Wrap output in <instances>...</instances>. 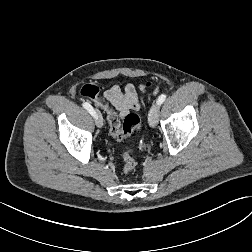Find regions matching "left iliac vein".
Masks as SVG:
<instances>
[{"mask_svg": "<svg viewBox=\"0 0 252 252\" xmlns=\"http://www.w3.org/2000/svg\"><path fill=\"white\" fill-rule=\"evenodd\" d=\"M159 109H160L159 104L155 103L152 105L149 112L148 121L149 125L153 128L156 127V125L158 124Z\"/></svg>", "mask_w": 252, "mask_h": 252, "instance_id": "1", "label": "left iliac vein"}]
</instances>
